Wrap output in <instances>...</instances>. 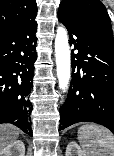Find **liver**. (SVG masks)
I'll return each instance as SVG.
<instances>
[{
  "instance_id": "1",
  "label": "liver",
  "mask_w": 114,
  "mask_h": 156,
  "mask_svg": "<svg viewBox=\"0 0 114 156\" xmlns=\"http://www.w3.org/2000/svg\"><path fill=\"white\" fill-rule=\"evenodd\" d=\"M19 129L11 124H0V151L17 140Z\"/></svg>"
}]
</instances>
